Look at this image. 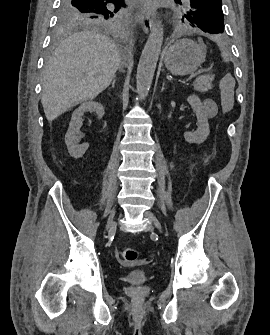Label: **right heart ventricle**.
Returning a JSON list of instances; mask_svg holds the SVG:
<instances>
[{"label": "right heart ventricle", "mask_w": 270, "mask_h": 335, "mask_svg": "<svg viewBox=\"0 0 270 335\" xmlns=\"http://www.w3.org/2000/svg\"><path fill=\"white\" fill-rule=\"evenodd\" d=\"M138 78H141V77H138V72L136 73V81H138Z\"/></svg>", "instance_id": "e07e8e85"}]
</instances>
